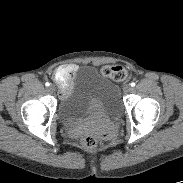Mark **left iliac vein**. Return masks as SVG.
<instances>
[{
    "label": "left iliac vein",
    "instance_id": "left-iliac-vein-1",
    "mask_svg": "<svg viewBox=\"0 0 183 183\" xmlns=\"http://www.w3.org/2000/svg\"><path fill=\"white\" fill-rule=\"evenodd\" d=\"M132 90L131 86L129 84L124 85L123 91L125 93H129Z\"/></svg>",
    "mask_w": 183,
    "mask_h": 183
}]
</instances>
